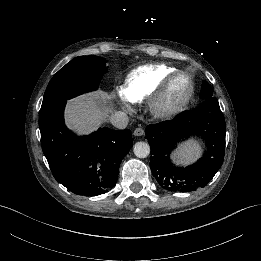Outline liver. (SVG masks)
I'll use <instances>...</instances> for the list:
<instances>
[{
  "label": "liver",
  "mask_w": 261,
  "mask_h": 261,
  "mask_svg": "<svg viewBox=\"0 0 261 261\" xmlns=\"http://www.w3.org/2000/svg\"><path fill=\"white\" fill-rule=\"evenodd\" d=\"M112 99V93L98 90L69 100L65 110L67 126L79 135L97 130L114 111Z\"/></svg>",
  "instance_id": "obj_1"
}]
</instances>
